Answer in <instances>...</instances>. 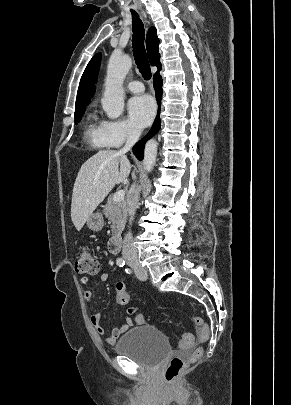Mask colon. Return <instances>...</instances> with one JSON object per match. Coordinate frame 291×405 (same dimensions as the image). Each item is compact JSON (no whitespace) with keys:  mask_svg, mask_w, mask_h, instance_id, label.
I'll return each mask as SVG.
<instances>
[{"mask_svg":"<svg viewBox=\"0 0 291 405\" xmlns=\"http://www.w3.org/2000/svg\"><path fill=\"white\" fill-rule=\"evenodd\" d=\"M75 269L79 273L95 275L99 271V263L94 257L92 251L82 246L77 252V258L75 262ZM116 300L119 304L125 305L129 302V292L123 283L116 285ZM194 323L198 329V338L200 344H204L210 337V329L206 322L200 317H194ZM193 335L186 333L182 336L180 341V347L183 349L190 348L193 344ZM203 354V348L199 346L189 357H174L169 362L166 371L165 379L168 383H173L180 376L185 367L198 360Z\"/></svg>","mask_w":291,"mask_h":405,"instance_id":"5ec220e1","label":"colon"}]
</instances>
